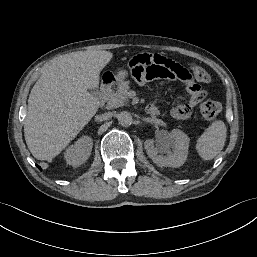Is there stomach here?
<instances>
[{"instance_id":"0dacf381","label":"stomach","mask_w":257,"mask_h":257,"mask_svg":"<svg viewBox=\"0 0 257 257\" xmlns=\"http://www.w3.org/2000/svg\"><path fill=\"white\" fill-rule=\"evenodd\" d=\"M128 76V73L126 70L122 69L118 71V73L113 77L112 81L115 80L117 82H122L126 77Z\"/></svg>"}]
</instances>
